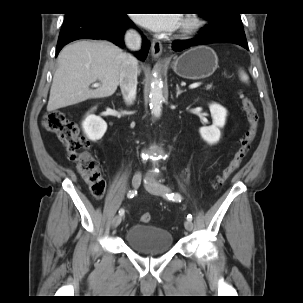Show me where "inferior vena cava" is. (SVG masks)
Returning a JSON list of instances; mask_svg holds the SVG:
<instances>
[{"label":"inferior vena cava","mask_w":303,"mask_h":303,"mask_svg":"<svg viewBox=\"0 0 303 303\" xmlns=\"http://www.w3.org/2000/svg\"><path fill=\"white\" fill-rule=\"evenodd\" d=\"M125 44L131 51L141 48L142 39L139 33L129 29L125 33ZM137 59L132 54H125L120 70V89L127 104H131L136 96L138 66Z\"/></svg>","instance_id":"1"}]
</instances>
